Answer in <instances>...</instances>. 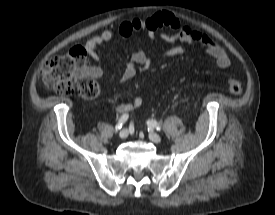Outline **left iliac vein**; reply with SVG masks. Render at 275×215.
<instances>
[{"label": "left iliac vein", "instance_id": "1", "mask_svg": "<svg viewBox=\"0 0 275 215\" xmlns=\"http://www.w3.org/2000/svg\"><path fill=\"white\" fill-rule=\"evenodd\" d=\"M148 137L154 143H160L162 140L158 134L153 133V132H149Z\"/></svg>", "mask_w": 275, "mask_h": 215}]
</instances>
